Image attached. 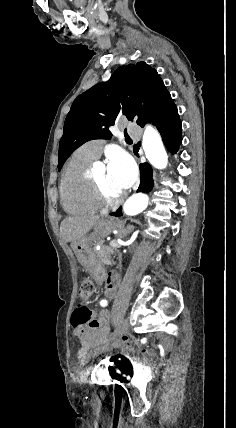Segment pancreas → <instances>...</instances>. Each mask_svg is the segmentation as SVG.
Segmentation results:
<instances>
[{"mask_svg": "<svg viewBox=\"0 0 236 428\" xmlns=\"http://www.w3.org/2000/svg\"><path fill=\"white\" fill-rule=\"evenodd\" d=\"M95 246H98V244H95ZM95 254H97L102 264H110L111 254H113V248H111V246H101L100 250H98V252H95Z\"/></svg>", "mask_w": 236, "mask_h": 428, "instance_id": "cf45deb5", "label": "pancreas"}]
</instances>
